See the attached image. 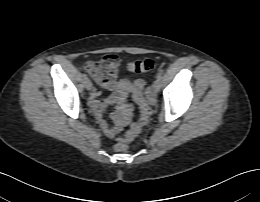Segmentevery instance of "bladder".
<instances>
[{"label": "bladder", "instance_id": "bladder-1", "mask_svg": "<svg viewBox=\"0 0 260 202\" xmlns=\"http://www.w3.org/2000/svg\"><path fill=\"white\" fill-rule=\"evenodd\" d=\"M131 82L127 79H121L118 83H117V87H118V91L119 93L124 97L127 96L129 94V91L131 89Z\"/></svg>", "mask_w": 260, "mask_h": 202}]
</instances>
